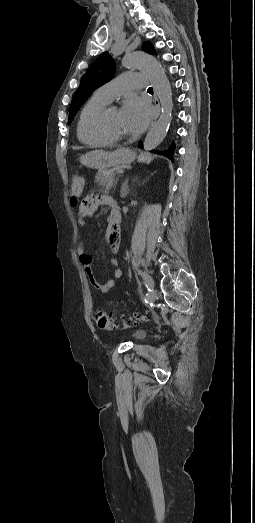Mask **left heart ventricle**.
<instances>
[{
    "instance_id": "1",
    "label": "left heart ventricle",
    "mask_w": 255,
    "mask_h": 523,
    "mask_svg": "<svg viewBox=\"0 0 255 523\" xmlns=\"http://www.w3.org/2000/svg\"><path fill=\"white\" fill-rule=\"evenodd\" d=\"M103 126L113 135L122 138H131L134 133L130 118L125 109H113L103 120Z\"/></svg>"
}]
</instances>
